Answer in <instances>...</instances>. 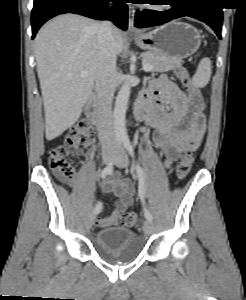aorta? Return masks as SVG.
I'll use <instances>...</instances> for the list:
<instances>
[{"instance_id": "obj_1", "label": "aorta", "mask_w": 246, "mask_h": 300, "mask_svg": "<svg viewBox=\"0 0 246 300\" xmlns=\"http://www.w3.org/2000/svg\"><path fill=\"white\" fill-rule=\"evenodd\" d=\"M131 84L126 81L120 88L116 97L114 112H113V125L114 132L118 139H126V109L130 97Z\"/></svg>"}]
</instances>
